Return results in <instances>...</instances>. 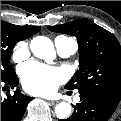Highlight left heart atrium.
Listing matches in <instances>:
<instances>
[{"label": "left heart atrium", "mask_w": 121, "mask_h": 121, "mask_svg": "<svg viewBox=\"0 0 121 121\" xmlns=\"http://www.w3.org/2000/svg\"><path fill=\"white\" fill-rule=\"evenodd\" d=\"M22 81L28 92L36 95H50L65 80V75L59 68L30 62L22 67Z\"/></svg>", "instance_id": "obj_1"}]
</instances>
